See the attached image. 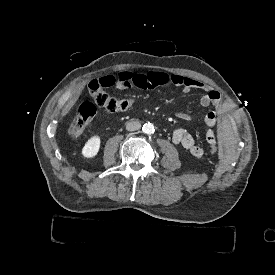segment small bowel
Wrapping results in <instances>:
<instances>
[{
  "label": "small bowel",
  "instance_id": "c3829d8e",
  "mask_svg": "<svg viewBox=\"0 0 275 275\" xmlns=\"http://www.w3.org/2000/svg\"><path fill=\"white\" fill-rule=\"evenodd\" d=\"M108 77L112 80L111 85L122 89H153L166 85H174L182 87L184 92H190L192 90L203 91L204 93L200 98V105L202 107H212V110H210L204 118V123L207 128L206 141L207 143L214 141L218 145L217 136L213 127L217 122L218 112L222 109L221 96L217 90L206 83L186 78L177 73H168L160 70L149 71L147 73L123 71L115 77ZM177 117L182 120H189L191 118L190 115L185 112H178ZM172 140L175 144L182 146L192 156L196 158L204 156V149L195 142L193 136L187 131L183 129L174 130Z\"/></svg>",
  "mask_w": 275,
  "mask_h": 275
}]
</instances>
